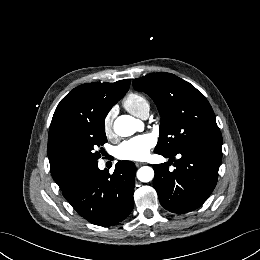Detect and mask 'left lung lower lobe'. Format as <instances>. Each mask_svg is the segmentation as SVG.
<instances>
[{"label":"left lung lower lobe","instance_id":"obj_1","mask_svg":"<svg viewBox=\"0 0 260 260\" xmlns=\"http://www.w3.org/2000/svg\"><path fill=\"white\" fill-rule=\"evenodd\" d=\"M222 145H193L175 154L157 153L174 162L153 166L154 187L161 205L173 213H186L200 207L216 186L222 160Z\"/></svg>","mask_w":260,"mask_h":260}]
</instances>
